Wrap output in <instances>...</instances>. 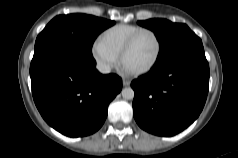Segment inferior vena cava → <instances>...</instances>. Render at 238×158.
I'll return each instance as SVG.
<instances>
[{
	"instance_id": "602c4592",
	"label": "inferior vena cava",
	"mask_w": 238,
	"mask_h": 158,
	"mask_svg": "<svg viewBox=\"0 0 238 158\" xmlns=\"http://www.w3.org/2000/svg\"><path fill=\"white\" fill-rule=\"evenodd\" d=\"M97 69L99 72H101L103 74L110 73V71H111L110 65L107 63H104V62L97 63Z\"/></svg>"
}]
</instances>
